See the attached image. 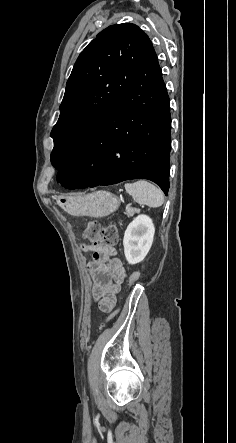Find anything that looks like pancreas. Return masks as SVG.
I'll list each match as a JSON object with an SVG mask.
<instances>
[{
    "instance_id": "pancreas-1",
    "label": "pancreas",
    "mask_w": 236,
    "mask_h": 443,
    "mask_svg": "<svg viewBox=\"0 0 236 443\" xmlns=\"http://www.w3.org/2000/svg\"><path fill=\"white\" fill-rule=\"evenodd\" d=\"M139 212H140V210L137 208H133L131 206L126 207V215L128 217L134 216L136 213H139Z\"/></svg>"
}]
</instances>
